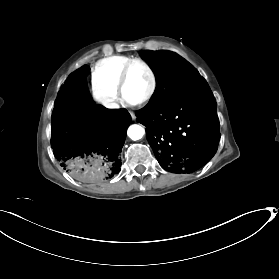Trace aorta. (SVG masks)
<instances>
[{
	"label": "aorta",
	"mask_w": 279,
	"mask_h": 279,
	"mask_svg": "<svg viewBox=\"0 0 279 279\" xmlns=\"http://www.w3.org/2000/svg\"><path fill=\"white\" fill-rule=\"evenodd\" d=\"M145 134V130L142 126L138 124H133L129 126L127 130V135L129 136L130 139L136 141L141 139Z\"/></svg>",
	"instance_id": "1"
}]
</instances>
